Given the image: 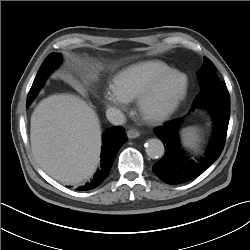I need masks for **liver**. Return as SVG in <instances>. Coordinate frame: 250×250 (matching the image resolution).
Masks as SVG:
<instances>
[{"label":"liver","mask_w":250,"mask_h":250,"mask_svg":"<svg viewBox=\"0 0 250 250\" xmlns=\"http://www.w3.org/2000/svg\"><path fill=\"white\" fill-rule=\"evenodd\" d=\"M30 140L41 168L65 185L89 179L100 161L98 116L74 94L51 95L35 107Z\"/></svg>","instance_id":"obj_1"}]
</instances>
